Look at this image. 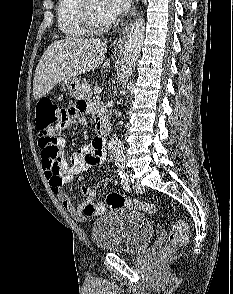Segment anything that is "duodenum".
<instances>
[{"mask_svg": "<svg viewBox=\"0 0 233 294\" xmlns=\"http://www.w3.org/2000/svg\"><path fill=\"white\" fill-rule=\"evenodd\" d=\"M96 121V138L100 143L105 144L110 132V122L105 109L97 105L94 109Z\"/></svg>", "mask_w": 233, "mask_h": 294, "instance_id": "duodenum-1", "label": "duodenum"}]
</instances>
